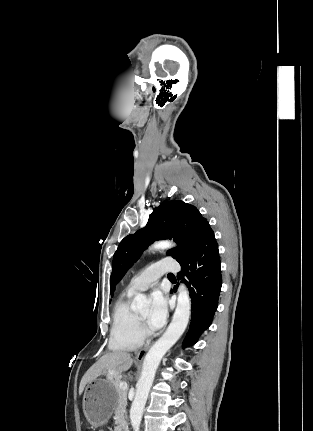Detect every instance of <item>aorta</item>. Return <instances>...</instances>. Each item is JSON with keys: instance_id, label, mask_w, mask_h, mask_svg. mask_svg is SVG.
Instances as JSON below:
<instances>
[{"instance_id": "1", "label": "aorta", "mask_w": 313, "mask_h": 431, "mask_svg": "<svg viewBox=\"0 0 313 431\" xmlns=\"http://www.w3.org/2000/svg\"><path fill=\"white\" fill-rule=\"evenodd\" d=\"M171 241H159L151 246V250H165L174 247ZM148 307V300L144 294L134 297V308L142 311ZM191 300L188 289L181 284L178 289L177 307L172 321L162 337L155 342L146 354L143 362L141 377L137 383L135 398L130 409V421L133 431H140L143 410L152 386L156 370L165 353L179 340L189 322Z\"/></svg>"}]
</instances>
